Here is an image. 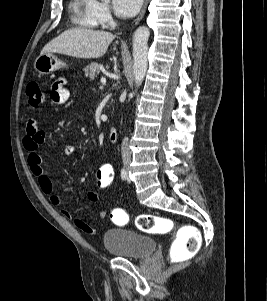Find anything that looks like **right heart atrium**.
<instances>
[{"label": "right heart atrium", "mask_w": 267, "mask_h": 301, "mask_svg": "<svg viewBox=\"0 0 267 301\" xmlns=\"http://www.w3.org/2000/svg\"><path fill=\"white\" fill-rule=\"evenodd\" d=\"M92 15L98 25L103 27H109L113 23L110 8L105 2L93 0Z\"/></svg>", "instance_id": "right-heart-atrium-1"}]
</instances>
